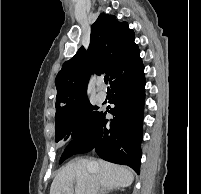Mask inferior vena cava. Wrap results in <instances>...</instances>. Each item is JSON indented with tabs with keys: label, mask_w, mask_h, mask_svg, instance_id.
I'll list each match as a JSON object with an SVG mask.
<instances>
[{
	"label": "inferior vena cava",
	"mask_w": 201,
	"mask_h": 194,
	"mask_svg": "<svg viewBox=\"0 0 201 194\" xmlns=\"http://www.w3.org/2000/svg\"><path fill=\"white\" fill-rule=\"evenodd\" d=\"M99 186L100 185H99L97 176L95 174L92 175V178L86 189V194H99L98 193Z\"/></svg>",
	"instance_id": "inferior-vena-cava-1"
}]
</instances>
